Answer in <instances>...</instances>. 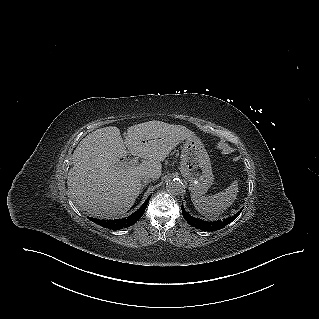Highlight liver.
I'll use <instances>...</instances> for the list:
<instances>
[{
    "label": "liver",
    "mask_w": 319,
    "mask_h": 319,
    "mask_svg": "<svg viewBox=\"0 0 319 319\" xmlns=\"http://www.w3.org/2000/svg\"><path fill=\"white\" fill-rule=\"evenodd\" d=\"M123 140L117 127L97 129L80 141L68 173V188L81 210L99 218L125 214L140 194L143 172L159 179L163 161L181 141L195 134L182 125L148 121L130 126ZM128 149V150H127ZM144 160L122 166L128 154Z\"/></svg>",
    "instance_id": "1"
}]
</instances>
